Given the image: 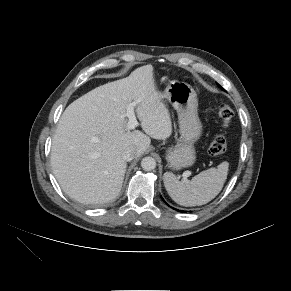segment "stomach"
<instances>
[{"label": "stomach", "mask_w": 291, "mask_h": 291, "mask_svg": "<svg viewBox=\"0 0 291 291\" xmlns=\"http://www.w3.org/2000/svg\"><path fill=\"white\" fill-rule=\"evenodd\" d=\"M159 94L174 107L179 119L180 139L166 153L168 166L173 170L190 167L196 160L194 144L202 134L196 93L189 84L174 80Z\"/></svg>", "instance_id": "obj_1"}]
</instances>
